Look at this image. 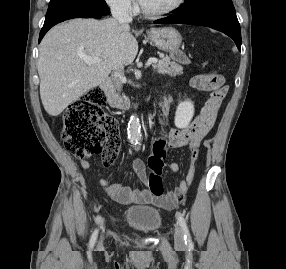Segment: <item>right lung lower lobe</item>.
I'll return each instance as SVG.
<instances>
[{
    "label": "right lung lower lobe",
    "mask_w": 286,
    "mask_h": 269,
    "mask_svg": "<svg viewBox=\"0 0 286 269\" xmlns=\"http://www.w3.org/2000/svg\"><path fill=\"white\" fill-rule=\"evenodd\" d=\"M101 14H96V13H91V12H78V13H73V14H69L60 18H56L53 19L51 21L48 22H44V25L40 31V36H39V42L42 40V38L44 37V35L46 34V32L53 27L54 25L63 22L65 20L68 19H72V18H77V17H81V18H96L99 19L101 18Z\"/></svg>",
    "instance_id": "1"
}]
</instances>
